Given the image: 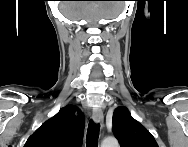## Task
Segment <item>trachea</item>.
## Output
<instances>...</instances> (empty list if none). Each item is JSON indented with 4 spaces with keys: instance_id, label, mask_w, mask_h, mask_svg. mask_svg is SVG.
Returning <instances> with one entry per match:
<instances>
[{
    "instance_id": "1",
    "label": "trachea",
    "mask_w": 188,
    "mask_h": 147,
    "mask_svg": "<svg viewBox=\"0 0 188 147\" xmlns=\"http://www.w3.org/2000/svg\"><path fill=\"white\" fill-rule=\"evenodd\" d=\"M100 125L90 120L86 136V147H98Z\"/></svg>"
}]
</instances>
